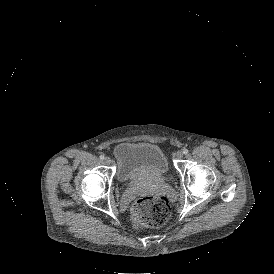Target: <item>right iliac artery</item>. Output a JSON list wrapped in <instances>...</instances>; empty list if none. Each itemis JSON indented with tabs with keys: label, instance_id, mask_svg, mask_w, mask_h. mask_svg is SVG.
<instances>
[{
	"label": "right iliac artery",
	"instance_id": "right-iliac-artery-1",
	"mask_svg": "<svg viewBox=\"0 0 274 274\" xmlns=\"http://www.w3.org/2000/svg\"><path fill=\"white\" fill-rule=\"evenodd\" d=\"M100 159H101V160H104V159H105V156H104V155H100Z\"/></svg>",
	"mask_w": 274,
	"mask_h": 274
}]
</instances>
